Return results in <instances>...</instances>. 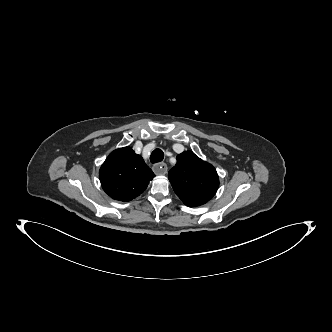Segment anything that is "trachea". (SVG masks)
Masks as SVG:
<instances>
[{
  "instance_id": "3493384b",
  "label": "trachea",
  "mask_w": 332,
  "mask_h": 332,
  "mask_svg": "<svg viewBox=\"0 0 332 332\" xmlns=\"http://www.w3.org/2000/svg\"><path fill=\"white\" fill-rule=\"evenodd\" d=\"M164 158V153L161 149H155L150 156L151 163L161 162Z\"/></svg>"
}]
</instances>
